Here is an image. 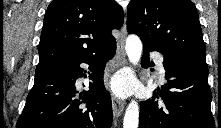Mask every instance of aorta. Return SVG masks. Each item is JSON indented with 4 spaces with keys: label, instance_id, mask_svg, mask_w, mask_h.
<instances>
[{
    "label": "aorta",
    "instance_id": "aorta-1",
    "mask_svg": "<svg viewBox=\"0 0 221 128\" xmlns=\"http://www.w3.org/2000/svg\"><path fill=\"white\" fill-rule=\"evenodd\" d=\"M126 53L129 61L137 65L142 55V42L136 35H129L126 40ZM139 125V105L132 100L125 111L123 128H138Z\"/></svg>",
    "mask_w": 221,
    "mask_h": 128
}]
</instances>
